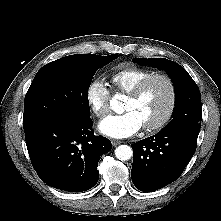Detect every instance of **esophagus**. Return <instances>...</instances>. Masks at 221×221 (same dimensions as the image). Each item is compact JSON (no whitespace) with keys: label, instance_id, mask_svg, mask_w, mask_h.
I'll return each mask as SVG.
<instances>
[{"label":"esophagus","instance_id":"obj_1","mask_svg":"<svg viewBox=\"0 0 221 221\" xmlns=\"http://www.w3.org/2000/svg\"><path fill=\"white\" fill-rule=\"evenodd\" d=\"M122 143V141H120V140H116V139H113L112 140V145L113 146H117V145H119V144H121Z\"/></svg>","mask_w":221,"mask_h":221}]
</instances>
